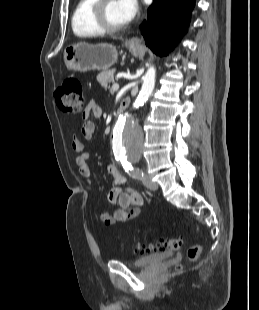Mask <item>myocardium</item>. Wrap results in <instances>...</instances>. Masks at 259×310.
<instances>
[{
    "mask_svg": "<svg viewBox=\"0 0 259 310\" xmlns=\"http://www.w3.org/2000/svg\"><path fill=\"white\" fill-rule=\"evenodd\" d=\"M108 2L109 0H96L91 9V19L101 33H117L122 31L126 27V24L112 26L106 22L105 8Z\"/></svg>",
    "mask_w": 259,
    "mask_h": 310,
    "instance_id": "1",
    "label": "myocardium"
}]
</instances>
